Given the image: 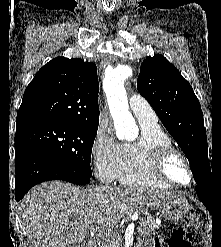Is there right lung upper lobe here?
Here are the masks:
<instances>
[{
    "instance_id": "1",
    "label": "right lung upper lobe",
    "mask_w": 221,
    "mask_h": 247,
    "mask_svg": "<svg viewBox=\"0 0 221 247\" xmlns=\"http://www.w3.org/2000/svg\"><path fill=\"white\" fill-rule=\"evenodd\" d=\"M99 83L94 63L57 57L35 75L26 88L16 129L71 122L97 126Z\"/></svg>"
}]
</instances>
